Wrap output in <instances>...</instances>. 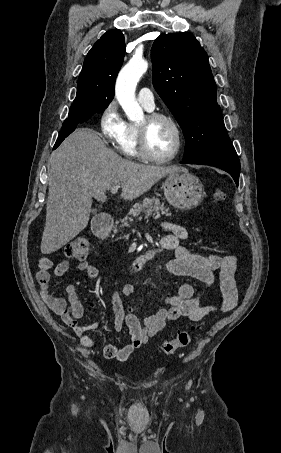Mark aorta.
Returning a JSON list of instances; mask_svg holds the SVG:
<instances>
[{
  "mask_svg": "<svg viewBox=\"0 0 281 453\" xmlns=\"http://www.w3.org/2000/svg\"><path fill=\"white\" fill-rule=\"evenodd\" d=\"M148 69V62L142 58L131 59L119 72L116 85L115 95L131 121H140L143 119V110L138 104L135 97L137 83L142 75Z\"/></svg>",
  "mask_w": 281,
  "mask_h": 453,
  "instance_id": "obj_1",
  "label": "aorta"
}]
</instances>
